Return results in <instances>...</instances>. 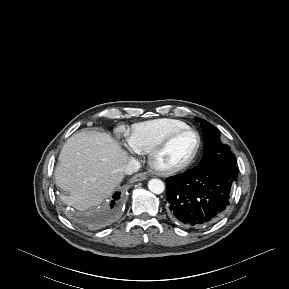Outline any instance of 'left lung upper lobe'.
<instances>
[{"mask_svg":"<svg viewBox=\"0 0 289 289\" xmlns=\"http://www.w3.org/2000/svg\"><path fill=\"white\" fill-rule=\"evenodd\" d=\"M204 132V154L197 167H212L220 164L235 165L236 158L230 147L220 140V131L206 120L197 118Z\"/></svg>","mask_w":289,"mask_h":289,"instance_id":"5c2ea615","label":"left lung upper lobe"}]
</instances>
